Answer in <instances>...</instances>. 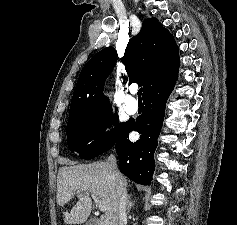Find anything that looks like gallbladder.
<instances>
[{"instance_id": "obj_1", "label": "gallbladder", "mask_w": 237, "mask_h": 225, "mask_svg": "<svg viewBox=\"0 0 237 225\" xmlns=\"http://www.w3.org/2000/svg\"><path fill=\"white\" fill-rule=\"evenodd\" d=\"M85 225H97V221L96 220H90Z\"/></svg>"}]
</instances>
